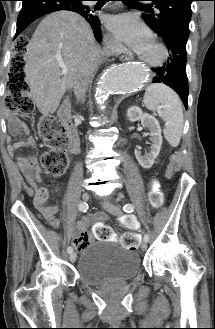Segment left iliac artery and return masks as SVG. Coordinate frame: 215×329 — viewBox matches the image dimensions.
<instances>
[{
    "instance_id": "44dca946",
    "label": "left iliac artery",
    "mask_w": 215,
    "mask_h": 329,
    "mask_svg": "<svg viewBox=\"0 0 215 329\" xmlns=\"http://www.w3.org/2000/svg\"><path fill=\"white\" fill-rule=\"evenodd\" d=\"M124 212L126 213H131L134 211V206L132 204H126L123 207ZM144 241L148 242L149 241V235L145 234L144 235Z\"/></svg>"
}]
</instances>
